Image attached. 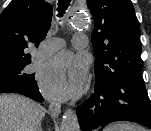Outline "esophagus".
Wrapping results in <instances>:
<instances>
[{"label":"esophagus","instance_id":"34e87169","mask_svg":"<svg viewBox=\"0 0 151 131\" xmlns=\"http://www.w3.org/2000/svg\"><path fill=\"white\" fill-rule=\"evenodd\" d=\"M49 111L52 116L57 117L61 113V104L57 101L49 103Z\"/></svg>","mask_w":151,"mask_h":131}]
</instances>
